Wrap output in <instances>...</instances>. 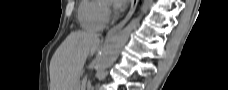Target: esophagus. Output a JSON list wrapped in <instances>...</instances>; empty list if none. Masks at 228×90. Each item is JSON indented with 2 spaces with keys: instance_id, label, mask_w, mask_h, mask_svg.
I'll return each instance as SVG.
<instances>
[{
  "instance_id": "obj_1",
  "label": "esophagus",
  "mask_w": 228,
  "mask_h": 90,
  "mask_svg": "<svg viewBox=\"0 0 228 90\" xmlns=\"http://www.w3.org/2000/svg\"><path fill=\"white\" fill-rule=\"evenodd\" d=\"M137 5H138V0H132L131 1V7H130L129 12L127 13L125 18L120 23H118L117 25H115L113 28H111L109 30V32L107 33V37L113 36L116 32H118L128 22V20L134 14Z\"/></svg>"
}]
</instances>
